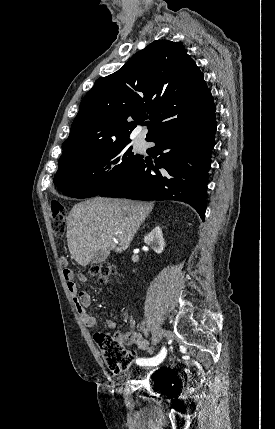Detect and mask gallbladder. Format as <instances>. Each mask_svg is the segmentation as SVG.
I'll list each match as a JSON object with an SVG mask.
<instances>
[{"label": "gallbladder", "mask_w": 275, "mask_h": 429, "mask_svg": "<svg viewBox=\"0 0 275 429\" xmlns=\"http://www.w3.org/2000/svg\"><path fill=\"white\" fill-rule=\"evenodd\" d=\"M109 255H110L109 250H98V251L94 252V254L91 258V263H93V264L101 263V262L105 261Z\"/></svg>", "instance_id": "1"}]
</instances>
